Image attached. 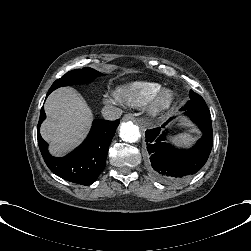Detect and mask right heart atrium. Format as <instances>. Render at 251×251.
I'll list each match as a JSON object with an SVG mask.
<instances>
[{"label": "right heart atrium", "mask_w": 251, "mask_h": 251, "mask_svg": "<svg viewBox=\"0 0 251 251\" xmlns=\"http://www.w3.org/2000/svg\"><path fill=\"white\" fill-rule=\"evenodd\" d=\"M103 103H117L118 102V99L115 97V96H111V95H109L108 93H105L104 95H103Z\"/></svg>", "instance_id": "1"}]
</instances>
